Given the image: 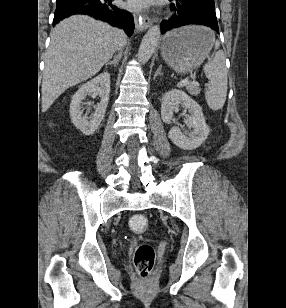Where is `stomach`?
Segmentation results:
<instances>
[{
    "label": "stomach",
    "instance_id": "obj_1",
    "mask_svg": "<svg viewBox=\"0 0 286 308\" xmlns=\"http://www.w3.org/2000/svg\"><path fill=\"white\" fill-rule=\"evenodd\" d=\"M215 35L207 27L188 25L168 32L162 41L163 59L179 73L198 67L208 56Z\"/></svg>",
    "mask_w": 286,
    "mask_h": 308
}]
</instances>
